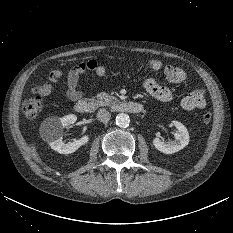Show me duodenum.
<instances>
[{"instance_id":"410a0bca","label":"duodenum","mask_w":233,"mask_h":233,"mask_svg":"<svg viewBox=\"0 0 233 233\" xmlns=\"http://www.w3.org/2000/svg\"><path fill=\"white\" fill-rule=\"evenodd\" d=\"M103 105V102L94 98H82L75 103V110L78 113L86 114L97 110ZM112 109L127 113H140L143 111V105L133 101H119L112 105Z\"/></svg>"}]
</instances>
